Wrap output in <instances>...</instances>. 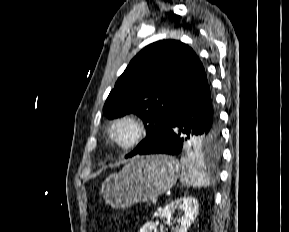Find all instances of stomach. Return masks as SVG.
Here are the masks:
<instances>
[{"label": "stomach", "instance_id": "obj_1", "mask_svg": "<svg viewBox=\"0 0 289 232\" xmlns=\"http://www.w3.org/2000/svg\"><path fill=\"white\" fill-rule=\"evenodd\" d=\"M179 163L167 155L134 158L119 173L102 184L105 201L116 209H126L138 202H148L170 190L179 176Z\"/></svg>", "mask_w": 289, "mask_h": 232}]
</instances>
